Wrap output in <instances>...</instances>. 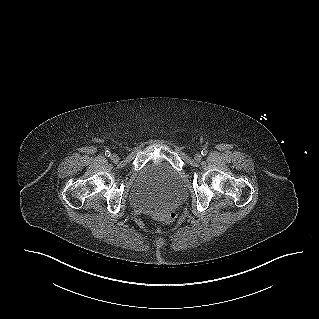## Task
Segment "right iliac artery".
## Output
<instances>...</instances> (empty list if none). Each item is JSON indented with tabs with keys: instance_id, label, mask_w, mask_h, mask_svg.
<instances>
[{
	"instance_id": "82829eb1",
	"label": "right iliac artery",
	"mask_w": 319,
	"mask_h": 319,
	"mask_svg": "<svg viewBox=\"0 0 319 319\" xmlns=\"http://www.w3.org/2000/svg\"><path fill=\"white\" fill-rule=\"evenodd\" d=\"M105 155H106L107 157H109V156L111 155V152H110V151H106V152H105Z\"/></svg>"
}]
</instances>
